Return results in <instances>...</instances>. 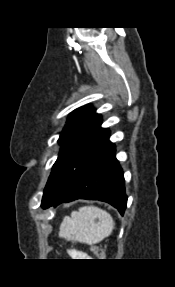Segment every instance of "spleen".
I'll use <instances>...</instances> for the list:
<instances>
[{"label": "spleen", "instance_id": "3e777b00", "mask_svg": "<svg viewBox=\"0 0 175 287\" xmlns=\"http://www.w3.org/2000/svg\"><path fill=\"white\" fill-rule=\"evenodd\" d=\"M114 226V220L107 211L95 206H83L63 219L59 236L68 241L93 245L108 237Z\"/></svg>", "mask_w": 175, "mask_h": 287}]
</instances>
